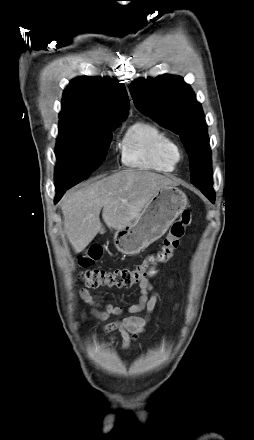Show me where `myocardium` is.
<instances>
[{"label":"myocardium","instance_id":"f54148a6","mask_svg":"<svg viewBox=\"0 0 254 440\" xmlns=\"http://www.w3.org/2000/svg\"><path fill=\"white\" fill-rule=\"evenodd\" d=\"M173 155L177 161L181 158V150L179 149V147L177 145L174 149Z\"/></svg>","mask_w":254,"mask_h":440}]
</instances>
